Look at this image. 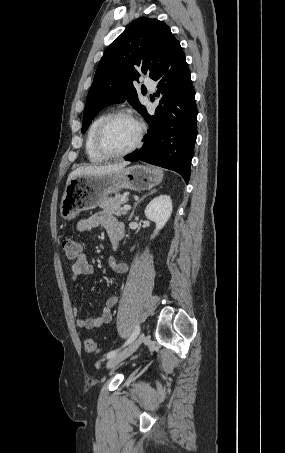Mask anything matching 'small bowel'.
Masks as SVG:
<instances>
[{
    "label": "small bowel",
    "instance_id": "small-bowel-1",
    "mask_svg": "<svg viewBox=\"0 0 285 453\" xmlns=\"http://www.w3.org/2000/svg\"><path fill=\"white\" fill-rule=\"evenodd\" d=\"M98 226H102L105 229L113 245H117L124 236L123 224L112 214L104 211L79 220L76 225V229L77 231L84 233L89 232ZM108 264L118 273H125L128 271L127 264L118 263L113 258L108 259ZM71 273L72 279L74 281H79L91 276L94 273V267L91 263H89L87 257L84 254H81L72 264ZM117 301L118 299L116 296H110L106 300L100 316L86 319L77 318L76 325L79 328L90 330L110 323L112 320V309L116 306ZM72 312L75 317L79 315V310L76 307L73 308Z\"/></svg>",
    "mask_w": 285,
    "mask_h": 453
}]
</instances>
